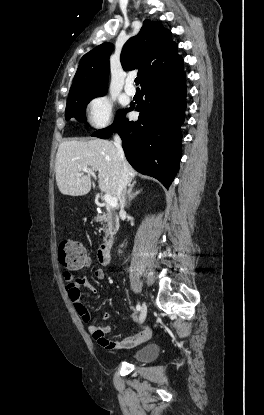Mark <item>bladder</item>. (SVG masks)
<instances>
[{
    "label": "bladder",
    "instance_id": "1",
    "mask_svg": "<svg viewBox=\"0 0 264 415\" xmlns=\"http://www.w3.org/2000/svg\"><path fill=\"white\" fill-rule=\"evenodd\" d=\"M159 354L160 347L156 344H150L137 350L133 355V360L146 363L154 360Z\"/></svg>",
    "mask_w": 264,
    "mask_h": 415
}]
</instances>
